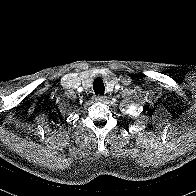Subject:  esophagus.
I'll return each mask as SVG.
<instances>
[{"label":"esophagus","instance_id":"esophagus-1","mask_svg":"<svg viewBox=\"0 0 196 196\" xmlns=\"http://www.w3.org/2000/svg\"><path fill=\"white\" fill-rule=\"evenodd\" d=\"M104 96L103 95H97L95 96V100L98 101V102H102L104 100Z\"/></svg>","mask_w":196,"mask_h":196}]
</instances>
